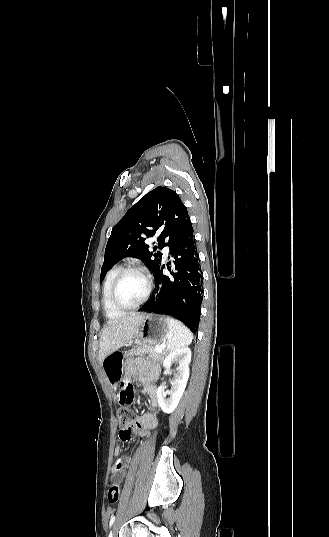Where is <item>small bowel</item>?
<instances>
[{"label": "small bowel", "mask_w": 329, "mask_h": 537, "mask_svg": "<svg viewBox=\"0 0 329 537\" xmlns=\"http://www.w3.org/2000/svg\"><path fill=\"white\" fill-rule=\"evenodd\" d=\"M158 369L149 364H145L140 360H129L126 363V377H122L120 385L118 387L120 403L122 405H130L136 396L134 384L132 378L138 377V379L144 384L143 391L150 398V409L144 415H142L134 427L128 433L127 430L122 429L119 431L118 436L121 441L129 442L135 437L144 438L149 434V431L157 425V411H158V393L157 388L150 382L156 378ZM123 449L120 446H116L114 450L115 461L111 471V477L114 480L122 481L125 477L124 468L130 464L131 458L123 456Z\"/></svg>", "instance_id": "obj_1"}]
</instances>
